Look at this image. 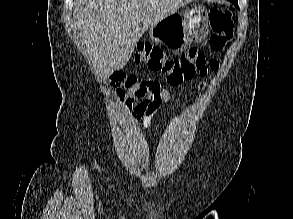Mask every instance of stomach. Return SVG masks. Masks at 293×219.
<instances>
[{
  "mask_svg": "<svg viewBox=\"0 0 293 219\" xmlns=\"http://www.w3.org/2000/svg\"><path fill=\"white\" fill-rule=\"evenodd\" d=\"M209 16L200 4L188 7L183 16L172 14L150 27V37L173 51L201 43L208 35Z\"/></svg>",
  "mask_w": 293,
  "mask_h": 219,
  "instance_id": "stomach-1",
  "label": "stomach"
}]
</instances>
